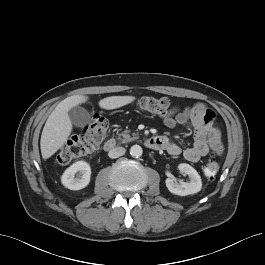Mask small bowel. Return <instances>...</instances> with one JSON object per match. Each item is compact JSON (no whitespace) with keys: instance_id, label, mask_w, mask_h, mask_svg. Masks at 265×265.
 <instances>
[{"instance_id":"1","label":"small bowel","mask_w":265,"mask_h":265,"mask_svg":"<svg viewBox=\"0 0 265 265\" xmlns=\"http://www.w3.org/2000/svg\"><path fill=\"white\" fill-rule=\"evenodd\" d=\"M189 123L194 131L192 146L182 150L168 136H160L164 140V150L172 156L181 153L190 162H198L209 153L222 154L224 148L221 142L220 130L215 124L214 111L204 103H196L184 108H174L172 114L164 118L167 127Z\"/></svg>"}]
</instances>
